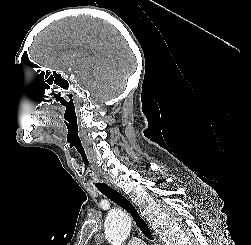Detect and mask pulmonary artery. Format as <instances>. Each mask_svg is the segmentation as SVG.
Segmentation results:
<instances>
[{
  "mask_svg": "<svg viewBox=\"0 0 251 245\" xmlns=\"http://www.w3.org/2000/svg\"><path fill=\"white\" fill-rule=\"evenodd\" d=\"M127 245H145V243L139 238L131 239Z\"/></svg>",
  "mask_w": 251,
  "mask_h": 245,
  "instance_id": "pulmonary-artery-1",
  "label": "pulmonary artery"
}]
</instances>
